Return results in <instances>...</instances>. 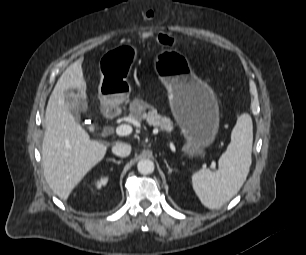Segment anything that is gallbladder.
I'll return each mask as SVG.
<instances>
[{"label":"gallbladder","instance_id":"obj_1","mask_svg":"<svg viewBox=\"0 0 306 255\" xmlns=\"http://www.w3.org/2000/svg\"><path fill=\"white\" fill-rule=\"evenodd\" d=\"M64 96L69 111L72 113V115L76 120H79L80 111L86 110L85 105L80 101L78 95H76L72 91H66Z\"/></svg>","mask_w":306,"mask_h":255}]
</instances>
